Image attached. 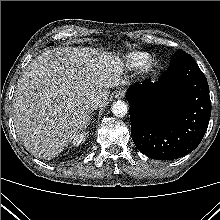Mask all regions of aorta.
Wrapping results in <instances>:
<instances>
[{
    "mask_svg": "<svg viewBox=\"0 0 220 220\" xmlns=\"http://www.w3.org/2000/svg\"><path fill=\"white\" fill-rule=\"evenodd\" d=\"M111 109L112 113L116 117H124L128 111L127 104L122 100H117L116 102H114Z\"/></svg>",
    "mask_w": 220,
    "mask_h": 220,
    "instance_id": "1",
    "label": "aorta"
}]
</instances>
